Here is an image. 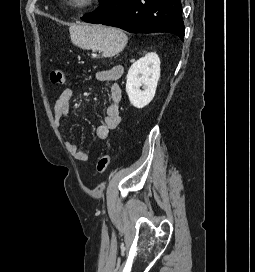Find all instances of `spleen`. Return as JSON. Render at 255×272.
Instances as JSON below:
<instances>
[{
  "mask_svg": "<svg viewBox=\"0 0 255 272\" xmlns=\"http://www.w3.org/2000/svg\"><path fill=\"white\" fill-rule=\"evenodd\" d=\"M69 31L74 45L99 51L104 57H113L120 53L128 41L127 35L121 29L102 25L74 24Z\"/></svg>",
  "mask_w": 255,
  "mask_h": 272,
  "instance_id": "obj_1",
  "label": "spleen"
}]
</instances>
